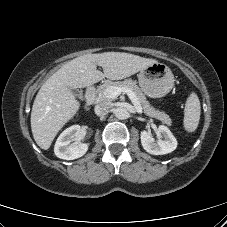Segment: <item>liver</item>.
Segmentation results:
<instances>
[{"label": "liver", "mask_w": 227, "mask_h": 227, "mask_svg": "<svg viewBox=\"0 0 227 227\" xmlns=\"http://www.w3.org/2000/svg\"><path fill=\"white\" fill-rule=\"evenodd\" d=\"M157 63L122 52L86 54L64 64L40 88L31 111V130L37 145L47 150L59 130L80 108L72 88H84L103 78L120 80ZM103 68V73L97 70Z\"/></svg>", "instance_id": "6515ba94"}]
</instances>
